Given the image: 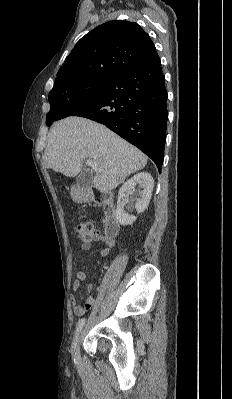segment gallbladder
Listing matches in <instances>:
<instances>
[{"instance_id": "obj_1", "label": "gallbladder", "mask_w": 232, "mask_h": 399, "mask_svg": "<svg viewBox=\"0 0 232 399\" xmlns=\"http://www.w3.org/2000/svg\"><path fill=\"white\" fill-rule=\"evenodd\" d=\"M82 168L84 170L83 172H80L78 178H76V182L79 184V186H81V188H91L93 180L90 172H87L89 165L84 163Z\"/></svg>"}]
</instances>
